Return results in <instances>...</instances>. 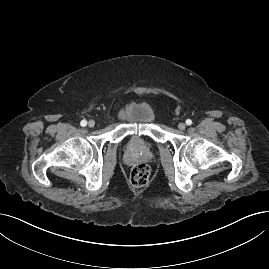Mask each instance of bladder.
Wrapping results in <instances>:
<instances>
[{"mask_svg":"<svg viewBox=\"0 0 269 269\" xmlns=\"http://www.w3.org/2000/svg\"><path fill=\"white\" fill-rule=\"evenodd\" d=\"M123 117L131 126H149L155 120V113L148 103L137 101L125 107Z\"/></svg>","mask_w":269,"mask_h":269,"instance_id":"1","label":"bladder"}]
</instances>
